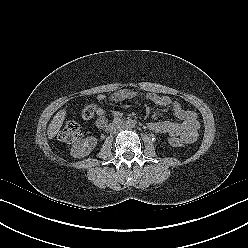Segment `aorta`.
Listing matches in <instances>:
<instances>
[{
	"instance_id": "762f6f07",
	"label": "aorta",
	"mask_w": 248,
	"mask_h": 248,
	"mask_svg": "<svg viewBox=\"0 0 248 248\" xmlns=\"http://www.w3.org/2000/svg\"><path fill=\"white\" fill-rule=\"evenodd\" d=\"M135 125H136V121L133 120V119H128V120H126V122H125V127H126L127 129H132V128L135 127Z\"/></svg>"
}]
</instances>
